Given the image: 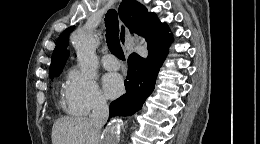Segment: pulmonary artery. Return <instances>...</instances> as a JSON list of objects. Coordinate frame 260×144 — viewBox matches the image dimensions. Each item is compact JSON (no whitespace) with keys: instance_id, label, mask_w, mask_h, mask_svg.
I'll use <instances>...</instances> for the list:
<instances>
[{"instance_id":"pulmonary-artery-1","label":"pulmonary artery","mask_w":260,"mask_h":144,"mask_svg":"<svg viewBox=\"0 0 260 144\" xmlns=\"http://www.w3.org/2000/svg\"><path fill=\"white\" fill-rule=\"evenodd\" d=\"M103 66L108 70H117L120 67V63L117 58L112 54H107L102 58Z\"/></svg>"}]
</instances>
